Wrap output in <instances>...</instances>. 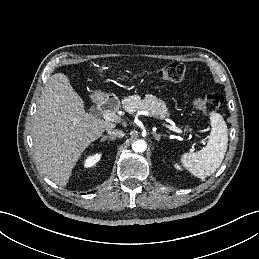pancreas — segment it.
Listing matches in <instances>:
<instances>
[{
    "instance_id": "1",
    "label": "pancreas",
    "mask_w": 259,
    "mask_h": 259,
    "mask_svg": "<svg viewBox=\"0 0 259 259\" xmlns=\"http://www.w3.org/2000/svg\"><path fill=\"white\" fill-rule=\"evenodd\" d=\"M122 106L130 114L145 110L155 118H165L168 115L165 102L153 95H146L144 99L139 95L128 96L122 100Z\"/></svg>"
}]
</instances>
